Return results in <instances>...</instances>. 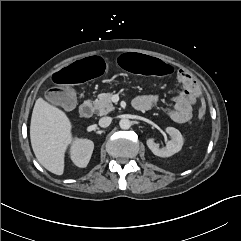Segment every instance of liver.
Instances as JSON below:
<instances>
[{"label":"liver","instance_id":"1","mask_svg":"<svg viewBox=\"0 0 241 241\" xmlns=\"http://www.w3.org/2000/svg\"><path fill=\"white\" fill-rule=\"evenodd\" d=\"M72 124L59 108L42 98L35 102L31 124L30 140L38 162L56 175L64 173V156L72 141Z\"/></svg>","mask_w":241,"mask_h":241}]
</instances>
